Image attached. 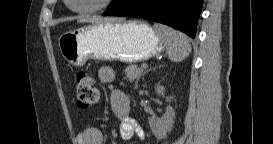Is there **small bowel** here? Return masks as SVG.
<instances>
[{"label": "small bowel", "mask_w": 273, "mask_h": 144, "mask_svg": "<svg viewBox=\"0 0 273 144\" xmlns=\"http://www.w3.org/2000/svg\"><path fill=\"white\" fill-rule=\"evenodd\" d=\"M100 82L109 84L114 81V71L109 67L101 68L98 72ZM111 109L120 121V138L124 141L131 140L136 134L144 138V133L137 121L130 115V102L127 94L121 90H112L110 95ZM103 133L99 128L87 127L76 136V144H102Z\"/></svg>", "instance_id": "c3829d8e"}]
</instances>
